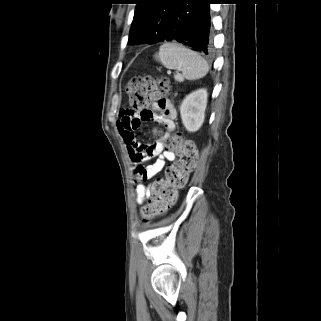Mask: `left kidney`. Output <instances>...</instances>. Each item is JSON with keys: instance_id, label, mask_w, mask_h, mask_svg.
<instances>
[{"instance_id": "5707ae66", "label": "left kidney", "mask_w": 321, "mask_h": 321, "mask_svg": "<svg viewBox=\"0 0 321 321\" xmlns=\"http://www.w3.org/2000/svg\"><path fill=\"white\" fill-rule=\"evenodd\" d=\"M207 90L198 89L185 97L180 106L184 127L189 132H196L204 122L207 106Z\"/></svg>"}]
</instances>
